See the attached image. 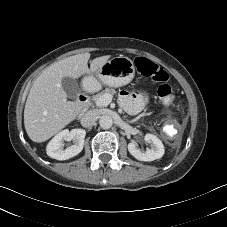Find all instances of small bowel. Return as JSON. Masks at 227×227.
I'll use <instances>...</instances> for the list:
<instances>
[{"label":"small bowel","mask_w":227,"mask_h":227,"mask_svg":"<svg viewBox=\"0 0 227 227\" xmlns=\"http://www.w3.org/2000/svg\"><path fill=\"white\" fill-rule=\"evenodd\" d=\"M121 106L131 114H136L141 111L143 107V100L141 96L134 95L127 91H122L119 96Z\"/></svg>","instance_id":"obj_1"}]
</instances>
